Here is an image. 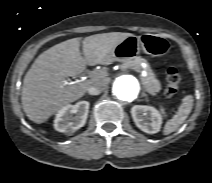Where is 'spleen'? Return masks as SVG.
Here are the masks:
<instances>
[{
	"mask_svg": "<svg viewBox=\"0 0 212 183\" xmlns=\"http://www.w3.org/2000/svg\"><path fill=\"white\" fill-rule=\"evenodd\" d=\"M193 96L188 95L182 99V104L178 108V112L176 115L172 117L171 120L167 121L163 134L168 135L178 129V127L187 119L193 107ZM163 114H165V110L161 108Z\"/></svg>",
	"mask_w": 212,
	"mask_h": 183,
	"instance_id": "1",
	"label": "spleen"
}]
</instances>
